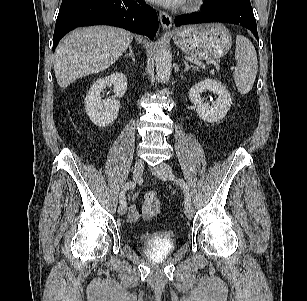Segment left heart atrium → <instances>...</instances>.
<instances>
[{
    "mask_svg": "<svg viewBox=\"0 0 307 301\" xmlns=\"http://www.w3.org/2000/svg\"><path fill=\"white\" fill-rule=\"evenodd\" d=\"M149 1L165 6H172L181 3L183 0H149Z\"/></svg>",
    "mask_w": 307,
    "mask_h": 301,
    "instance_id": "39dd6f15",
    "label": "left heart atrium"
}]
</instances>
